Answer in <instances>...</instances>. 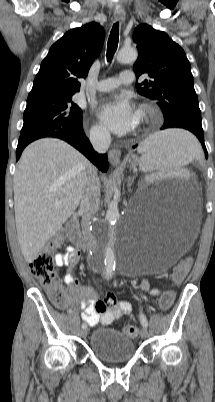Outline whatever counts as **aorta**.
<instances>
[{
	"mask_svg": "<svg viewBox=\"0 0 215 402\" xmlns=\"http://www.w3.org/2000/svg\"><path fill=\"white\" fill-rule=\"evenodd\" d=\"M137 56L138 53L136 49L122 48L117 54V61L120 63H132L136 61ZM118 218V203L116 201H111L106 212L108 227L98 232L102 235L95 252L96 256H98L99 259L104 262L106 276L108 277L113 275L118 260L117 247L114 244V231L111 227L116 223Z\"/></svg>",
	"mask_w": 215,
	"mask_h": 402,
	"instance_id": "aorta-1",
	"label": "aorta"
}]
</instances>
